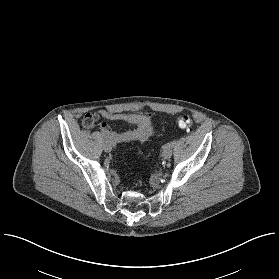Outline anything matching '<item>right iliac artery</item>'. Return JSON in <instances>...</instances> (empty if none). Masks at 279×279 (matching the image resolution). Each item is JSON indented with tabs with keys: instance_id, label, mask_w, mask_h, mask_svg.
Here are the masks:
<instances>
[{
	"instance_id": "right-iliac-artery-1",
	"label": "right iliac artery",
	"mask_w": 279,
	"mask_h": 279,
	"mask_svg": "<svg viewBox=\"0 0 279 279\" xmlns=\"http://www.w3.org/2000/svg\"><path fill=\"white\" fill-rule=\"evenodd\" d=\"M103 137L105 138L106 141H109V138H108V136L106 134L103 133ZM114 147H115V145H114Z\"/></svg>"
}]
</instances>
